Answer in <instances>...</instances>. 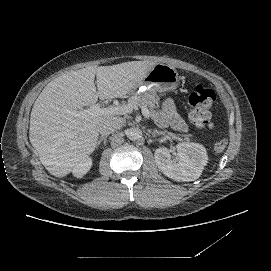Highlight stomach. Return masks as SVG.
Listing matches in <instances>:
<instances>
[{
  "label": "stomach",
  "instance_id": "obj_1",
  "mask_svg": "<svg viewBox=\"0 0 271 271\" xmlns=\"http://www.w3.org/2000/svg\"><path fill=\"white\" fill-rule=\"evenodd\" d=\"M179 84L177 70L168 64L157 63L147 73L144 79L136 85L139 92L146 91H174ZM133 89L129 92L131 94Z\"/></svg>",
  "mask_w": 271,
  "mask_h": 271
}]
</instances>
